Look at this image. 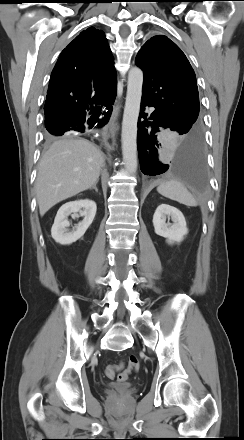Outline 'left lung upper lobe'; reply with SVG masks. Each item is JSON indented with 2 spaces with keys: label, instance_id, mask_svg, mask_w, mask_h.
I'll use <instances>...</instances> for the list:
<instances>
[{
  "label": "left lung upper lobe",
  "instance_id": "5c2ea615",
  "mask_svg": "<svg viewBox=\"0 0 244 440\" xmlns=\"http://www.w3.org/2000/svg\"><path fill=\"white\" fill-rule=\"evenodd\" d=\"M135 63L144 73L142 99L160 110L187 136L201 133L196 76L181 49L157 35L140 49Z\"/></svg>",
  "mask_w": 244,
  "mask_h": 440
}]
</instances>
